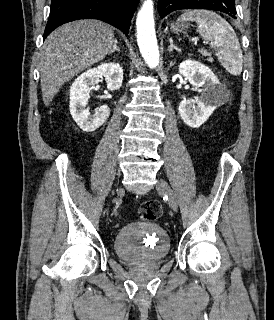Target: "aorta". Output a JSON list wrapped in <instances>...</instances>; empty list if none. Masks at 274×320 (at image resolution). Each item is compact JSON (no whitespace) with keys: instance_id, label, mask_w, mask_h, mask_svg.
I'll list each match as a JSON object with an SVG mask.
<instances>
[{"instance_id":"aorta-1","label":"aorta","mask_w":274,"mask_h":320,"mask_svg":"<svg viewBox=\"0 0 274 320\" xmlns=\"http://www.w3.org/2000/svg\"><path fill=\"white\" fill-rule=\"evenodd\" d=\"M140 53L150 68L159 64V50L154 29L153 1L145 0L136 19Z\"/></svg>"}]
</instances>
